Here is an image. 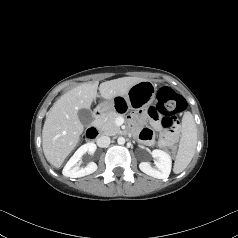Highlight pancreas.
I'll use <instances>...</instances> for the list:
<instances>
[{
  "label": "pancreas",
  "mask_w": 238,
  "mask_h": 238,
  "mask_svg": "<svg viewBox=\"0 0 238 238\" xmlns=\"http://www.w3.org/2000/svg\"><path fill=\"white\" fill-rule=\"evenodd\" d=\"M119 114L115 111L108 113L105 117L96 120L95 126L106 135H115L120 133L119 126L116 125L115 121Z\"/></svg>",
  "instance_id": "cf45deb5"
}]
</instances>
